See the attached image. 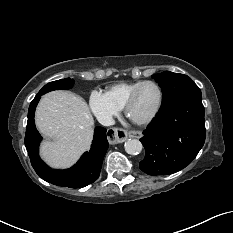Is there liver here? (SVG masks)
<instances>
[{
  "label": "liver",
  "instance_id": "liver-1",
  "mask_svg": "<svg viewBox=\"0 0 233 233\" xmlns=\"http://www.w3.org/2000/svg\"><path fill=\"white\" fill-rule=\"evenodd\" d=\"M35 123L51 139L42 143L40 154L54 168L71 166L90 147L94 120L87 103L74 93L45 94L37 106Z\"/></svg>",
  "mask_w": 233,
  "mask_h": 233
}]
</instances>
